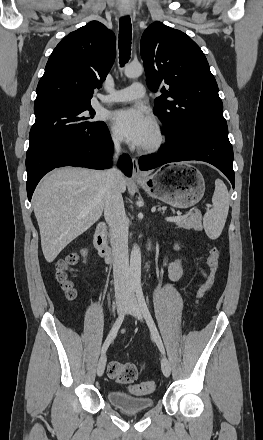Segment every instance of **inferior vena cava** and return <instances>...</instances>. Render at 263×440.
Segmentation results:
<instances>
[{"label": "inferior vena cava", "instance_id": "obj_1", "mask_svg": "<svg viewBox=\"0 0 263 440\" xmlns=\"http://www.w3.org/2000/svg\"><path fill=\"white\" fill-rule=\"evenodd\" d=\"M115 152L114 163L117 162L121 147L118 138L113 139ZM122 173L114 166L106 171V188L104 195V217L110 227L113 255V276L115 296L124 300L130 295V271L128 255V226L121 190L118 185Z\"/></svg>", "mask_w": 263, "mask_h": 440}]
</instances>
